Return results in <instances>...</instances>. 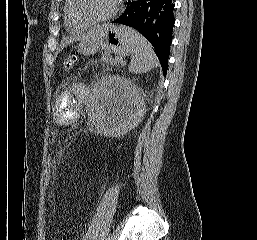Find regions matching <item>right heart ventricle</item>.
<instances>
[{
    "instance_id": "1",
    "label": "right heart ventricle",
    "mask_w": 257,
    "mask_h": 240,
    "mask_svg": "<svg viewBox=\"0 0 257 240\" xmlns=\"http://www.w3.org/2000/svg\"><path fill=\"white\" fill-rule=\"evenodd\" d=\"M64 25L67 31L71 33L81 32L88 27L90 24L79 20L73 10V0H66L64 5Z\"/></svg>"
}]
</instances>
